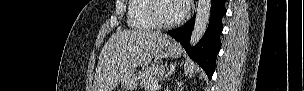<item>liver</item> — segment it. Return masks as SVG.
I'll return each mask as SVG.
<instances>
[{"label":"liver","instance_id":"obj_1","mask_svg":"<svg viewBox=\"0 0 304 91\" xmlns=\"http://www.w3.org/2000/svg\"><path fill=\"white\" fill-rule=\"evenodd\" d=\"M167 37L149 30L117 31L102 48L93 91H113L127 72L148 65Z\"/></svg>","mask_w":304,"mask_h":91}]
</instances>
